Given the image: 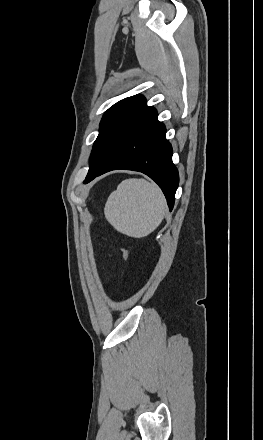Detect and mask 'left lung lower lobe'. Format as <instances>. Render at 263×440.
<instances>
[{"mask_svg":"<svg viewBox=\"0 0 263 440\" xmlns=\"http://www.w3.org/2000/svg\"><path fill=\"white\" fill-rule=\"evenodd\" d=\"M166 129L157 119L155 108L146 104L137 112L105 166L89 174L84 183L111 170L142 172L162 189L170 210L173 208L179 175L172 162V147Z\"/></svg>","mask_w":263,"mask_h":440,"instance_id":"left-lung-lower-lobe-1","label":"left lung lower lobe"}]
</instances>
